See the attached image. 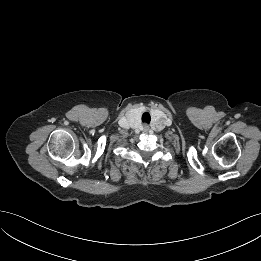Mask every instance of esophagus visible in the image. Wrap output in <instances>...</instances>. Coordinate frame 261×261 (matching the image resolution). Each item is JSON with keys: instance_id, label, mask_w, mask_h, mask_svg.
<instances>
[{"instance_id": "obj_1", "label": "esophagus", "mask_w": 261, "mask_h": 261, "mask_svg": "<svg viewBox=\"0 0 261 261\" xmlns=\"http://www.w3.org/2000/svg\"><path fill=\"white\" fill-rule=\"evenodd\" d=\"M142 131H143L144 133H147V132L149 131V126L145 124V125L143 126V128H142Z\"/></svg>"}]
</instances>
